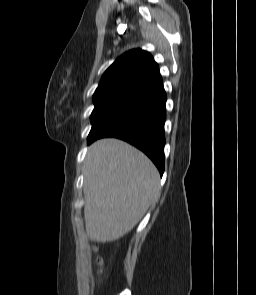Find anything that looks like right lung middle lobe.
Instances as JSON below:
<instances>
[{
    "mask_svg": "<svg viewBox=\"0 0 256 295\" xmlns=\"http://www.w3.org/2000/svg\"><path fill=\"white\" fill-rule=\"evenodd\" d=\"M134 98H116L95 104L91 114L92 129L89 136L98 133L114 116L120 113Z\"/></svg>",
    "mask_w": 256,
    "mask_h": 295,
    "instance_id": "1",
    "label": "right lung middle lobe"
}]
</instances>
